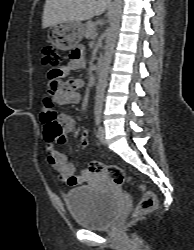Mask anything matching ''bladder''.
<instances>
[{"mask_svg":"<svg viewBox=\"0 0 194 250\" xmlns=\"http://www.w3.org/2000/svg\"><path fill=\"white\" fill-rule=\"evenodd\" d=\"M64 199L74 222L87 229L108 228L120 209L116 194L98 191L89 185L69 190Z\"/></svg>","mask_w":194,"mask_h":250,"instance_id":"obj_1","label":"bladder"}]
</instances>
